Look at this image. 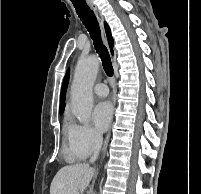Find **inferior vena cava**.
Here are the masks:
<instances>
[{
    "instance_id": "inferior-vena-cava-1",
    "label": "inferior vena cava",
    "mask_w": 201,
    "mask_h": 194,
    "mask_svg": "<svg viewBox=\"0 0 201 194\" xmlns=\"http://www.w3.org/2000/svg\"><path fill=\"white\" fill-rule=\"evenodd\" d=\"M102 143H103L102 136H100V135L96 136L94 144H93V155L90 158V162L91 163H93L94 161H96V159H97V157L99 155V152L101 150Z\"/></svg>"
}]
</instances>
